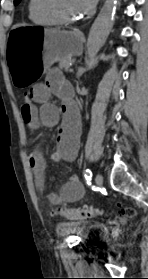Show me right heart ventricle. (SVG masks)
<instances>
[{"label":"right heart ventricle","instance_id":"1","mask_svg":"<svg viewBox=\"0 0 148 279\" xmlns=\"http://www.w3.org/2000/svg\"><path fill=\"white\" fill-rule=\"evenodd\" d=\"M28 14L30 20L39 26H53L56 22L40 11L38 7V0H29Z\"/></svg>","mask_w":148,"mask_h":279}]
</instances>
